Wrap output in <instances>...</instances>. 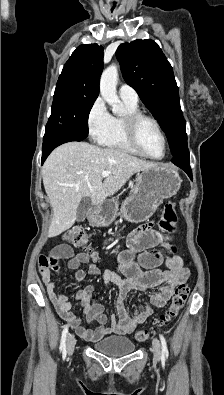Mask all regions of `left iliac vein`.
<instances>
[{
	"instance_id": "1",
	"label": "left iliac vein",
	"mask_w": 224,
	"mask_h": 395,
	"mask_svg": "<svg viewBox=\"0 0 224 395\" xmlns=\"http://www.w3.org/2000/svg\"><path fill=\"white\" fill-rule=\"evenodd\" d=\"M152 347H153L154 360L158 362L161 359V344L157 338H153Z\"/></svg>"
}]
</instances>
